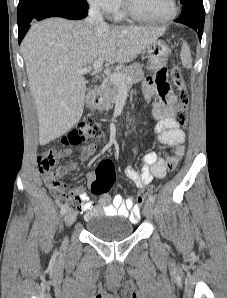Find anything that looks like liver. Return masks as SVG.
Listing matches in <instances>:
<instances>
[{"instance_id":"liver-1","label":"liver","mask_w":227,"mask_h":298,"mask_svg":"<svg viewBox=\"0 0 227 298\" xmlns=\"http://www.w3.org/2000/svg\"><path fill=\"white\" fill-rule=\"evenodd\" d=\"M165 28L87 26L85 21L49 18L32 25L21 44L37 109L39 143L72 129L84 109L86 80L75 72L99 59L106 64L133 61Z\"/></svg>"}]
</instances>
